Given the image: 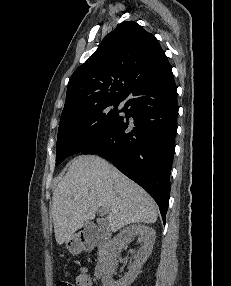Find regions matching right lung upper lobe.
<instances>
[{
    "label": "right lung upper lobe",
    "mask_w": 231,
    "mask_h": 286,
    "mask_svg": "<svg viewBox=\"0 0 231 286\" xmlns=\"http://www.w3.org/2000/svg\"><path fill=\"white\" fill-rule=\"evenodd\" d=\"M171 66L157 39L133 21L109 33L72 74L62 116L109 101H123L138 83L160 79Z\"/></svg>",
    "instance_id": "cb5924a9"
}]
</instances>
